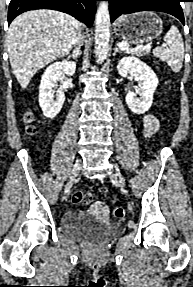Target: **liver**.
I'll use <instances>...</instances> for the list:
<instances>
[{
    "mask_svg": "<svg viewBox=\"0 0 193 287\" xmlns=\"http://www.w3.org/2000/svg\"><path fill=\"white\" fill-rule=\"evenodd\" d=\"M80 27L74 17L48 9L25 12L12 21L7 34L8 54L23 89L38 70L69 54Z\"/></svg>",
    "mask_w": 193,
    "mask_h": 287,
    "instance_id": "obj_1",
    "label": "liver"
}]
</instances>
